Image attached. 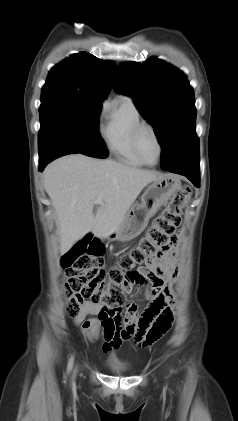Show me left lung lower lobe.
<instances>
[{"instance_id": "1", "label": "left lung lower lobe", "mask_w": 238, "mask_h": 421, "mask_svg": "<svg viewBox=\"0 0 238 421\" xmlns=\"http://www.w3.org/2000/svg\"><path fill=\"white\" fill-rule=\"evenodd\" d=\"M166 170L186 176L199 187V147L193 154Z\"/></svg>"}]
</instances>
